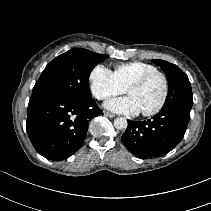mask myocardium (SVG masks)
<instances>
[{
  "label": "myocardium",
  "instance_id": "1",
  "mask_svg": "<svg viewBox=\"0 0 211 211\" xmlns=\"http://www.w3.org/2000/svg\"><path fill=\"white\" fill-rule=\"evenodd\" d=\"M155 76H159L162 78L163 83H164V92H163V96H162L160 103L154 109L141 112V114L146 117L154 116V115L158 114L164 108V106L167 102L168 96H169V79H168L167 75L164 72L156 70V71H153V72L143 75L142 77L138 78L137 80L132 82L127 87V92L129 93V91L131 89L142 87L150 79H152Z\"/></svg>",
  "mask_w": 211,
  "mask_h": 211
}]
</instances>
